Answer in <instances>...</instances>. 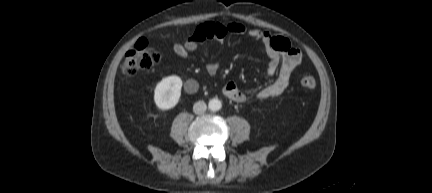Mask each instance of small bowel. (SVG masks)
<instances>
[{"mask_svg":"<svg viewBox=\"0 0 432 193\" xmlns=\"http://www.w3.org/2000/svg\"><path fill=\"white\" fill-rule=\"evenodd\" d=\"M221 28L224 35L218 37L221 40L227 33L237 35H247L251 39L261 43L268 57L267 74L274 76L280 67L277 78L270 84L258 89L255 97L258 99H267L281 95L289 86L290 76L293 70L301 63V51L293 47L289 39L283 36L273 35L268 31L251 28L247 29L244 25L231 22L226 25L219 23H205L200 25L194 34L183 43H176L173 47L175 54L180 58H187L188 55L198 48L200 42L204 41L206 36ZM219 70L217 61H209L206 65V71L209 75H215ZM185 90L188 93H195L198 90V83L190 79L185 83ZM223 94L235 102H244L247 99L246 94L232 81L226 83L223 87Z\"/></svg>","mask_w":432,"mask_h":193,"instance_id":"small-bowel-1","label":"small bowel"}]
</instances>
